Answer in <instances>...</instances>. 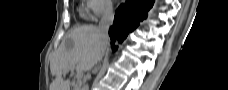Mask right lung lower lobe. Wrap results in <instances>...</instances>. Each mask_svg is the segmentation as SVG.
Instances as JSON below:
<instances>
[{"label":"right lung lower lobe","instance_id":"obj_1","mask_svg":"<svg viewBox=\"0 0 228 90\" xmlns=\"http://www.w3.org/2000/svg\"><path fill=\"white\" fill-rule=\"evenodd\" d=\"M154 0H126L115 13L114 23L109 29L111 45L114 49L146 18V12Z\"/></svg>","mask_w":228,"mask_h":90}]
</instances>
